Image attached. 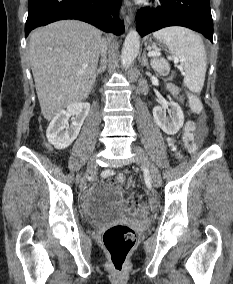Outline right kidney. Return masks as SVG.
Masks as SVG:
<instances>
[{
  "label": "right kidney",
  "instance_id": "right-kidney-1",
  "mask_svg": "<svg viewBox=\"0 0 233 284\" xmlns=\"http://www.w3.org/2000/svg\"><path fill=\"white\" fill-rule=\"evenodd\" d=\"M90 111L87 102H76L59 112L51 121L46 131L48 142L56 149H65L77 138L81 126ZM73 116L69 126L68 120Z\"/></svg>",
  "mask_w": 233,
  "mask_h": 284
}]
</instances>
